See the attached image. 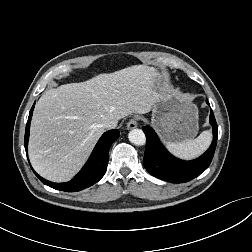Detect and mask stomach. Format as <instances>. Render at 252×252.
<instances>
[{"label":"stomach","instance_id":"0dacf381","mask_svg":"<svg viewBox=\"0 0 252 252\" xmlns=\"http://www.w3.org/2000/svg\"><path fill=\"white\" fill-rule=\"evenodd\" d=\"M152 89L156 100L151 123L166 142L192 140L198 131V109L182 95L170 91L164 76L154 71Z\"/></svg>","mask_w":252,"mask_h":252}]
</instances>
